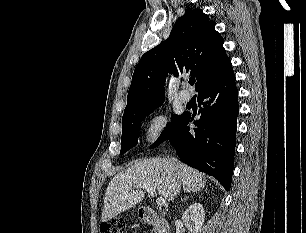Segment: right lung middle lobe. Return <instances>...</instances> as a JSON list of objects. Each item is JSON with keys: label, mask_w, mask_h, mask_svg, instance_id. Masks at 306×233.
<instances>
[{"label": "right lung middle lobe", "mask_w": 306, "mask_h": 233, "mask_svg": "<svg viewBox=\"0 0 306 233\" xmlns=\"http://www.w3.org/2000/svg\"><path fill=\"white\" fill-rule=\"evenodd\" d=\"M164 101L136 111L130 115L123 117L122 123V139H121V154L125 153L130 148L134 147L138 143V132L141 127L143 119L153 112L156 108L160 107ZM184 114L172 115L171 123L162 132L161 136L153 144L152 147L158 146L160 143L168 139L177 129Z\"/></svg>", "instance_id": "1"}]
</instances>
